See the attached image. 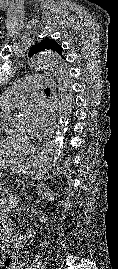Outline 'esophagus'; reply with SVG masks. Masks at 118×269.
<instances>
[{
  "label": "esophagus",
  "mask_w": 118,
  "mask_h": 269,
  "mask_svg": "<svg viewBox=\"0 0 118 269\" xmlns=\"http://www.w3.org/2000/svg\"><path fill=\"white\" fill-rule=\"evenodd\" d=\"M46 76L49 77L51 80V94H52V101H53L54 109H53V113L51 117L50 130H49L48 136L46 140L42 143V145L39 147V149L37 150V153L43 152L47 144L51 140L55 127H56V119H57V101L58 100H57V95H56V86L53 83V79L51 77L50 72H46Z\"/></svg>",
  "instance_id": "esophagus-1"
}]
</instances>
